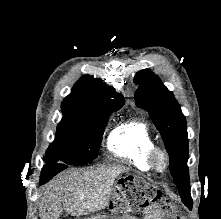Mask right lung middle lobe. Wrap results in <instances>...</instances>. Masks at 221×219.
I'll return each instance as SVG.
<instances>
[{"instance_id":"obj_1","label":"right lung middle lobe","mask_w":221,"mask_h":219,"mask_svg":"<svg viewBox=\"0 0 221 219\" xmlns=\"http://www.w3.org/2000/svg\"><path fill=\"white\" fill-rule=\"evenodd\" d=\"M110 114L99 119L63 117L44 158L47 164L82 165L94 160Z\"/></svg>"}]
</instances>
